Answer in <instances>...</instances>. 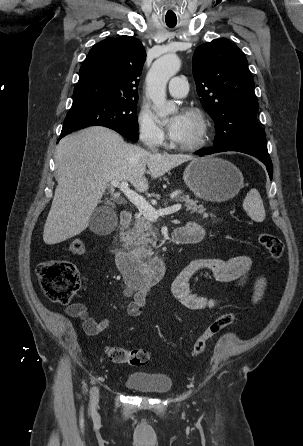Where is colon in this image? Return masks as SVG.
Here are the masks:
<instances>
[{
    "instance_id": "colon-1",
    "label": "colon",
    "mask_w": 303,
    "mask_h": 446,
    "mask_svg": "<svg viewBox=\"0 0 303 446\" xmlns=\"http://www.w3.org/2000/svg\"><path fill=\"white\" fill-rule=\"evenodd\" d=\"M258 240L272 259L278 260L281 258L284 246L278 236L270 233H260ZM69 250L74 255L81 256L85 254L86 248L82 240L74 239L69 245ZM36 273L44 294L52 302L67 304L80 288L79 272L75 265L69 261L42 260L36 266ZM236 318L237 313L225 312L210 322L194 342L191 350L192 355L198 356L203 353L208 342ZM105 352L112 362L118 364L143 366L150 359L148 351L144 349L127 350L118 346H110Z\"/></svg>"
}]
</instances>
